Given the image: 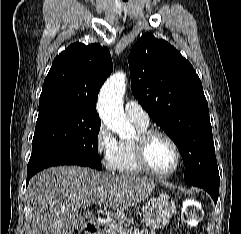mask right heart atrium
Wrapping results in <instances>:
<instances>
[{"label":"right heart atrium","instance_id":"right-heart-atrium-1","mask_svg":"<svg viewBox=\"0 0 241 234\" xmlns=\"http://www.w3.org/2000/svg\"><path fill=\"white\" fill-rule=\"evenodd\" d=\"M118 142L108 126L100 123L95 133L94 143L103 166L109 171L115 170Z\"/></svg>","mask_w":241,"mask_h":234}]
</instances>
